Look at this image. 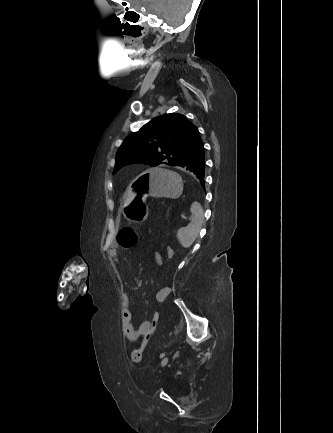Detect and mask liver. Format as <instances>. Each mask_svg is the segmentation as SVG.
I'll return each instance as SVG.
<instances>
[{"label":"liver","mask_w":333,"mask_h":433,"mask_svg":"<svg viewBox=\"0 0 333 433\" xmlns=\"http://www.w3.org/2000/svg\"><path fill=\"white\" fill-rule=\"evenodd\" d=\"M138 198H141V195H138Z\"/></svg>","instance_id":"1"}]
</instances>
